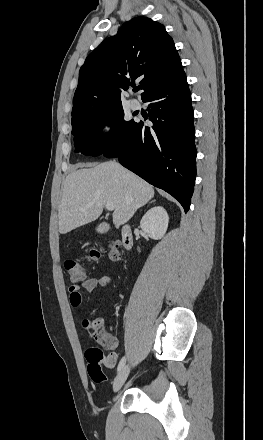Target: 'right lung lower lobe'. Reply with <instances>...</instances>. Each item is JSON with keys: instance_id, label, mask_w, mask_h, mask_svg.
Wrapping results in <instances>:
<instances>
[{"instance_id": "right-lung-lower-lobe-1", "label": "right lung lower lobe", "mask_w": 263, "mask_h": 440, "mask_svg": "<svg viewBox=\"0 0 263 440\" xmlns=\"http://www.w3.org/2000/svg\"><path fill=\"white\" fill-rule=\"evenodd\" d=\"M148 102L153 126L135 123L106 157L119 162L150 184L176 198L185 212L190 208L196 178L194 112L185 72L150 90Z\"/></svg>"}]
</instances>
